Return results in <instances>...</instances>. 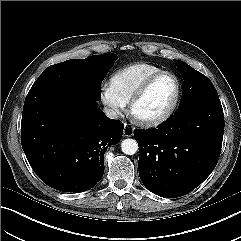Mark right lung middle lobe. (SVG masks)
Returning a JSON list of instances; mask_svg holds the SVG:
<instances>
[{
  "mask_svg": "<svg viewBox=\"0 0 241 241\" xmlns=\"http://www.w3.org/2000/svg\"><path fill=\"white\" fill-rule=\"evenodd\" d=\"M116 59V54L106 53L51 65L42 72L31 89L51 83H67L99 101L101 83Z\"/></svg>",
  "mask_w": 241,
  "mask_h": 241,
  "instance_id": "1",
  "label": "right lung middle lobe"
}]
</instances>
